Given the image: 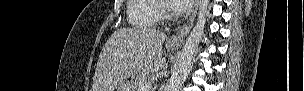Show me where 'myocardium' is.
Instances as JSON below:
<instances>
[{
	"mask_svg": "<svg viewBox=\"0 0 304 91\" xmlns=\"http://www.w3.org/2000/svg\"><path fill=\"white\" fill-rule=\"evenodd\" d=\"M159 6L161 8L162 14L164 15V17L170 18L171 16V5L169 3V1H159Z\"/></svg>",
	"mask_w": 304,
	"mask_h": 91,
	"instance_id": "1",
	"label": "myocardium"
}]
</instances>
